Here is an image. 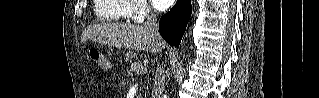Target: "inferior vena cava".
Returning <instances> with one entry per match:
<instances>
[{"instance_id":"inferior-vena-cava-1","label":"inferior vena cava","mask_w":319,"mask_h":98,"mask_svg":"<svg viewBox=\"0 0 319 98\" xmlns=\"http://www.w3.org/2000/svg\"><path fill=\"white\" fill-rule=\"evenodd\" d=\"M155 13L151 12L147 17V21L145 22V28L152 34V36L159 42H161V36L158 31V24L155 20ZM161 57V50L158 51ZM165 70L162 64L158 63L155 73V80L152 89V98H162L163 92L165 89Z\"/></svg>"}]
</instances>
